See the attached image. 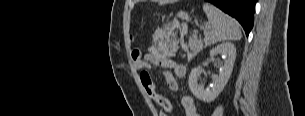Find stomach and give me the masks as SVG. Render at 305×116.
<instances>
[{"label":"stomach","instance_id":"1","mask_svg":"<svg viewBox=\"0 0 305 116\" xmlns=\"http://www.w3.org/2000/svg\"><path fill=\"white\" fill-rule=\"evenodd\" d=\"M177 16L182 19V20H186L188 18V14L186 12L180 11Z\"/></svg>","mask_w":305,"mask_h":116}]
</instances>
